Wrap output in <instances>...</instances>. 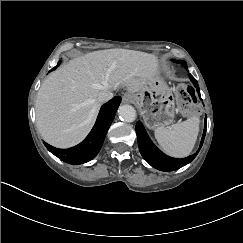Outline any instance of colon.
Masks as SVG:
<instances>
[{"instance_id": "obj_1", "label": "colon", "mask_w": 243, "mask_h": 243, "mask_svg": "<svg viewBox=\"0 0 243 243\" xmlns=\"http://www.w3.org/2000/svg\"><path fill=\"white\" fill-rule=\"evenodd\" d=\"M176 99L183 115L192 117L197 114L195 92L191 87L180 85L176 89Z\"/></svg>"}]
</instances>
